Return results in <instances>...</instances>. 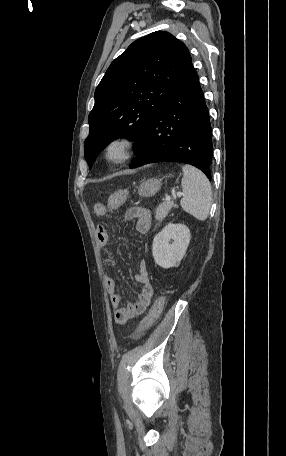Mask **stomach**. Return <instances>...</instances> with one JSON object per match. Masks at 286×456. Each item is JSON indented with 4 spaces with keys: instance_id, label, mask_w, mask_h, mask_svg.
<instances>
[{
    "instance_id": "stomach-1",
    "label": "stomach",
    "mask_w": 286,
    "mask_h": 456,
    "mask_svg": "<svg viewBox=\"0 0 286 456\" xmlns=\"http://www.w3.org/2000/svg\"><path fill=\"white\" fill-rule=\"evenodd\" d=\"M161 184L159 179H148L139 186L138 194L141 197H151L159 191Z\"/></svg>"
}]
</instances>
